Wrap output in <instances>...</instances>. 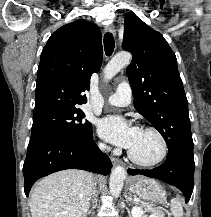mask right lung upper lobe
I'll list each match as a JSON object with an SVG mask.
<instances>
[{"label":"right lung upper lobe","mask_w":211,"mask_h":217,"mask_svg":"<svg viewBox=\"0 0 211 217\" xmlns=\"http://www.w3.org/2000/svg\"><path fill=\"white\" fill-rule=\"evenodd\" d=\"M102 53L101 31L93 23L76 20L55 31L41 54L33 118L86 103L83 93L101 67Z\"/></svg>","instance_id":"1"}]
</instances>
